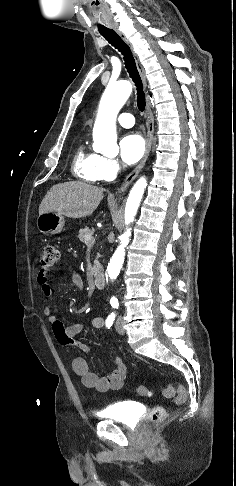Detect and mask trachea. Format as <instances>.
Returning <instances> with one entry per match:
<instances>
[{"label":"trachea","instance_id":"3493384b","mask_svg":"<svg viewBox=\"0 0 236 486\" xmlns=\"http://www.w3.org/2000/svg\"><path fill=\"white\" fill-rule=\"evenodd\" d=\"M100 34L116 49H118L125 61L126 69L134 82L137 89V106L142 112L145 109V94L143 92L142 81L137 70L134 57L129 46L121 39V37L112 29H106L100 31Z\"/></svg>","mask_w":236,"mask_h":486}]
</instances>
